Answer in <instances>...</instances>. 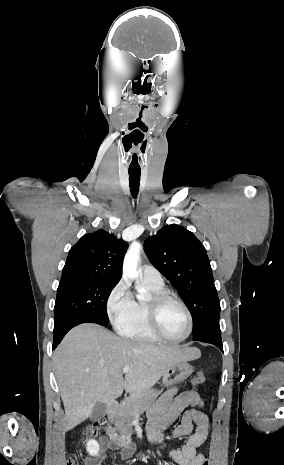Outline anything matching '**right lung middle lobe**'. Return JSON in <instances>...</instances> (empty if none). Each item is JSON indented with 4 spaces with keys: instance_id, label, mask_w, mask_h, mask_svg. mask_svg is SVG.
<instances>
[{
    "instance_id": "obj_1",
    "label": "right lung middle lobe",
    "mask_w": 284,
    "mask_h": 465,
    "mask_svg": "<svg viewBox=\"0 0 284 465\" xmlns=\"http://www.w3.org/2000/svg\"><path fill=\"white\" fill-rule=\"evenodd\" d=\"M116 284L82 277L61 279L54 307V326L76 317H91L108 324L106 304Z\"/></svg>"
}]
</instances>
